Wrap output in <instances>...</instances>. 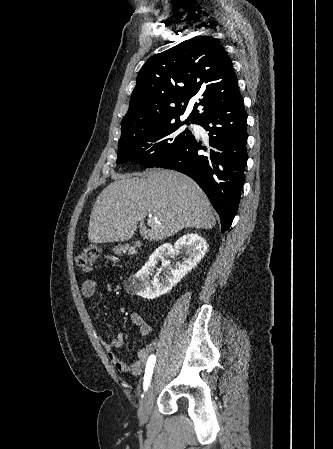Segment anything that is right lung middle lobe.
Segmentation results:
<instances>
[{
	"instance_id": "dd1d6c3e",
	"label": "right lung middle lobe",
	"mask_w": 333,
	"mask_h": 449,
	"mask_svg": "<svg viewBox=\"0 0 333 449\" xmlns=\"http://www.w3.org/2000/svg\"><path fill=\"white\" fill-rule=\"evenodd\" d=\"M189 122L196 123L174 120L138 136L119 141L117 163L133 162L145 167H156L193 136L188 129H180Z\"/></svg>"
}]
</instances>
